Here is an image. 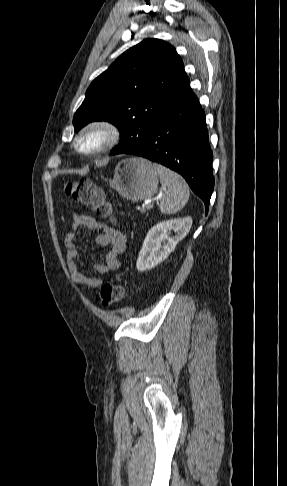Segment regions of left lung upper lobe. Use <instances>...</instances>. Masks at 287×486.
Wrapping results in <instances>:
<instances>
[{"instance_id":"left-lung-upper-lobe-1","label":"left lung upper lobe","mask_w":287,"mask_h":486,"mask_svg":"<svg viewBox=\"0 0 287 486\" xmlns=\"http://www.w3.org/2000/svg\"><path fill=\"white\" fill-rule=\"evenodd\" d=\"M189 84L175 48L159 39H145L91 83L74 115L75 131L92 121H109L121 132L119 145L110 153H124L145 141Z\"/></svg>"}]
</instances>
